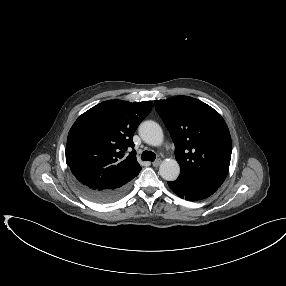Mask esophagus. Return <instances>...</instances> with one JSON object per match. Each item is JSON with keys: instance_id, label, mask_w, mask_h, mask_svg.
Masks as SVG:
<instances>
[{"instance_id": "esophagus-1", "label": "esophagus", "mask_w": 286, "mask_h": 286, "mask_svg": "<svg viewBox=\"0 0 286 286\" xmlns=\"http://www.w3.org/2000/svg\"><path fill=\"white\" fill-rule=\"evenodd\" d=\"M160 163H161V160H160V159H157L156 161L152 162V165H153L154 167H158V166L160 165Z\"/></svg>"}]
</instances>
